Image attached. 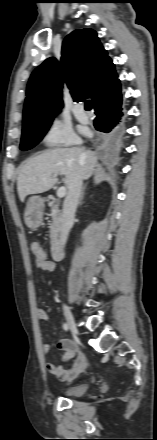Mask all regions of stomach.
I'll use <instances>...</instances> for the list:
<instances>
[{
  "mask_svg": "<svg viewBox=\"0 0 157 440\" xmlns=\"http://www.w3.org/2000/svg\"><path fill=\"white\" fill-rule=\"evenodd\" d=\"M44 200L40 197L29 199L24 211V220L28 228H38L43 219Z\"/></svg>",
  "mask_w": 157,
  "mask_h": 440,
  "instance_id": "0dacf381",
  "label": "stomach"
}]
</instances>
